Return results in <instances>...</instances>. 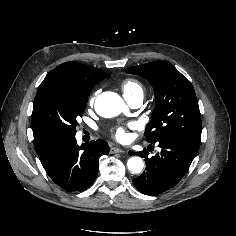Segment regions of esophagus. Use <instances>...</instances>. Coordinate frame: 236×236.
<instances>
[{
    "instance_id": "1",
    "label": "esophagus",
    "mask_w": 236,
    "mask_h": 236,
    "mask_svg": "<svg viewBox=\"0 0 236 236\" xmlns=\"http://www.w3.org/2000/svg\"><path fill=\"white\" fill-rule=\"evenodd\" d=\"M115 153H125V150L118 147H111L110 154H115Z\"/></svg>"
}]
</instances>
